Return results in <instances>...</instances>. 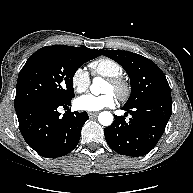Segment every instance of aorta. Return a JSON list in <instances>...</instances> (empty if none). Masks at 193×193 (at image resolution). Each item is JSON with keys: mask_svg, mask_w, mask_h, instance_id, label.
I'll list each match as a JSON object with an SVG mask.
<instances>
[{"mask_svg": "<svg viewBox=\"0 0 193 193\" xmlns=\"http://www.w3.org/2000/svg\"><path fill=\"white\" fill-rule=\"evenodd\" d=\"M103 80L100 77H95L93 83L90 86L92 94L99 95L101 92L100 84ZM98 121L103 126H110L113 122V115L108 111H103L98 116Z\"/></svg>", "mask_w": 193, "mask_h": 193, "instance_id": "1", "label": "aorta"}]
</instances>
